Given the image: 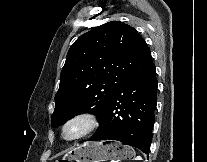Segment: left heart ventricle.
I'll return each mask as SVG.
<instances>
[{
  "label": "left heart ventricle",
  "instance_id": "1",
  "mask_svg": "<svg viewBox=\"0 0 207 162\" xmlns=\"http://www.w3.org/2000/svg\"><path fill=\"white\" fill-rule=\"evenodd\" d=\"M80 126H76V127H73L69 130V134L72 135V134H75L76 132H78L80 130Z\"/></svg>",
  "mask_w": 207,
  "mask_h": 162
}]
</instances>
